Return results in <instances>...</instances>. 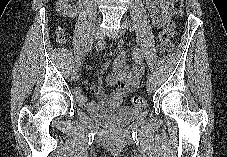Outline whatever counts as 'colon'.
Instances as JSON below:
<instances>
[{
    "instance_id": "obj_1",
    "label": "colon",
    "mask_w": 227,
    "mask_h": 157,
    "mask_svg": "<svg viewBox=\"0 0 227 157\" xmlns=\"http://www.w3.org/2000/svg\"><path fill=\"white\" fill-rule=\"evenodd\" d=\"M171 7L175 15H180L183 9V0H171ZM57 36L59 42L64 41V33L60 27L57 28ZM158 47L162 54H167L172 50L173 44L169 38L168 32L161 31ZM130 102L136 106H144L146 104V98L142 95H135L131 98Z\"/></svg>"
}]
</instances>
